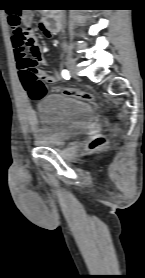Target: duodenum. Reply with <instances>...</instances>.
Segmentation results:
<instances>
[{"instance_id":"1","label":"duodenum","mask_w":145,"mask_h":278,"mask_svg":"<svg viewBox=\"0 0 145 278\" xmlns=\"http://www.w3.org/2000/svg\"><path fill=\"white\" fill-rule=\"evenodd\" d=\"M42 24L52 33H57L60 30V20L52 14L45 15Z\"/></svg>"}]
</instances>
